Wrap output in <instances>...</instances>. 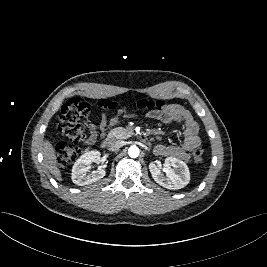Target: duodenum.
<instances>
[{"label":"duodenum","instance_id":"1","mask_svg":"<svg viewBox=\"0 0 267 267\" xmlns=\"http://www.w3.org/2000/svg\"><path fill=\"white\" fill-rule=\"evenodd\" d=\"M111 142V139L109 137H105L102 141H101V147H106L109 145V143ZM143 142L145 144L149 143V140L147 138L143 139Z\"/></svg>","mask_w":267,"mask_h":267}]
</instances>
